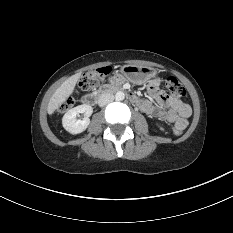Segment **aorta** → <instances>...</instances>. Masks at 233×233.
<instances>
[{"mask_svg":"<svg viewBox=\"0 0 233 233\" xmlns=\"http://www.w3.org/2000/svg\"><path fill=\"white\" fill-rule=\"evenodd\" d=\"M115 98H116V100H118V101L124 100V99H125V94H124V92L118 91V92L115 94Z\"/></svg>","mask_w":233,"mask_h":233,"instance_id":"1","label":"aorta"}]
</instances>
